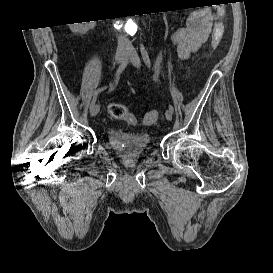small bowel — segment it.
Returning a JSON list of instances; mask_svg holds the SVG:
<instances>
[{"mask_svg": "<svg viewBox=\"0 0 273 273\" xmlns=\"http://www.w3.org/2000/svg\"><path fill=\"white\" fill-rule=\"evenodd\" d=\"M221 24V16H212L205 11L191 13L184 27L174 31L170 41L178 45L180 58L188 59L208 40L215 25Z\"/></svg>", "mask_w": 273, "mask_h": 273, "instance_id": "c3829d8e", "label": "small bowel"}]
</instances>
